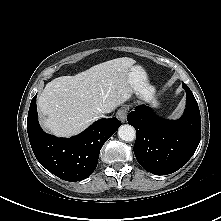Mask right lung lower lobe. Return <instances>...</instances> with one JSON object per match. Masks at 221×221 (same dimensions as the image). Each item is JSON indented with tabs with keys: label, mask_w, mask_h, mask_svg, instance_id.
<instances>
[{
	"label": "right lung lower lobe",
	"mask_w": 221,
	"mask_h": 221,
	"mask_svg": "<svg viewBox=\"0 0 221 221\" xmlns=\"http://www.w3.org/2000/svg\"><path fill=\"white\" fill-rule=\"evenodd\" d=\"M37 94L31 101L27 132L32 150L39 163L57 177L80 181L89 177L97 167L103 144L121 126L117 118L100 119L72 138H57L40 127L36 108Z\"/></svg>",
	"instance_id": "right-lung-lower-lobe-1"
}]
</instances>
